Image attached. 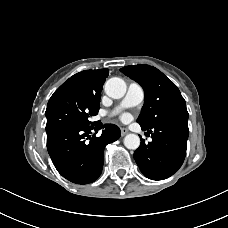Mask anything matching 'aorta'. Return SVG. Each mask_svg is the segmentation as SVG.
I'll return each mask as SVG.
<instances>
[{
	"label": "aorta",
	"mask_w": 228,
	"mask_h": 228,
	"mask_svg": "<svg viewBox=\"0 0 228 228\" xmlns=\"http://www.w3.org/2000/svg\"><path fill=\"white\" fill-rule=\"evenodd\" d=\"M106 94L114 99L122 98L127 90L126 83L123 79L112 77L105 83ZM124 145L126 148L136 150L140 146V138L136 134H128L124 138Z\"/></svg>",
	"instance_id": "aorta-1"
}]
</instances>
